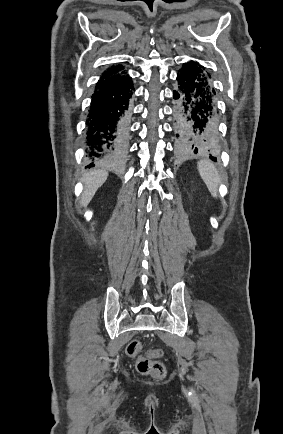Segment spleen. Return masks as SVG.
I'll return each mask as SVG.
<instances>
[{"label": "spleen", "instance_id": "spleen-1", "mask_svg": "<svg viewBox=\"0 0 283 434\" xmlns=\"http://www.w3.org/2000/svg\"><path fill=\"white\" fill-rule=\"evenodd\" d=\"M198 171L205 182L212 196L217 197V186L220 182L219 173L216 167L206 160H201L197 163Z\"/></svg>", "mask_w": 283, "mask_h": 434}]
</instances>
